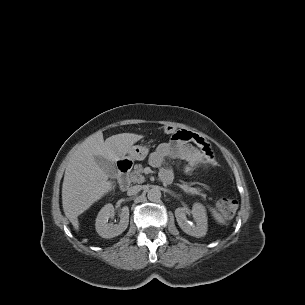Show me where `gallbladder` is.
Segmentation results:
<instances>
[{
	"label": "gallbladder",
	"instance_id": "bac80fb5",
	"mask_svg": "<svg viewBox=\"0 0 305 305\" xmlns=\"http://www.w3.org/2000/svg\"><path fill=\"white\" fill-rule=\"evenodd\" d=\"M95 161L100 166V168L109 176L115 177L117 175V169L115 164L109 160L104 159L101 156H95Z\"/></svg>",
	"mask_w": 305,
	"mask_h": 305
}]
</instances>
